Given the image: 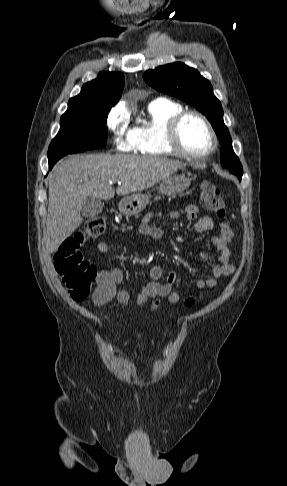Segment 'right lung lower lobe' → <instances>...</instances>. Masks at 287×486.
I'll list each match as a JSON object with an SVG mask.
<instances>
[{"mask_svg":"<svg viewBox=\"0 0 287 486\" xmlns=\"http://www.w3.org/2000/svg\"><path fill=\"white\" fill-rule=\"evenodd\" d=\"M55 164V163H54ZM54 164H49V169H51L53 167Z\"/></svg>","mask_w":287,"mask_h":486,"instance_id":"right-lung-lower-lobe-1","label":"right lung lower lobe"}]
</instances>
